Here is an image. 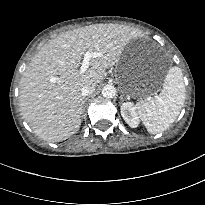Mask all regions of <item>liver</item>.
Wrapping results in <instances>:
<instances>
[{"label":"liver","instance_id":"1","mask_svg":"<svg viewBox=\"0 0 205 205\" xmlns=\"http://www.w3.org/2000/svg\"><path fill=\"white\" fill-rule=\"evenodd\" d=\"M133 37L128 27L94 24L67 31L46 43L32 58L19 84L20 110L34 133L50 142L73 135L81 124L82 87L99 84ZM86 50L99 56L91 58V67L80 74Z\"/></svg>","mask_w":205,"mask_h":205}]
</instances>
